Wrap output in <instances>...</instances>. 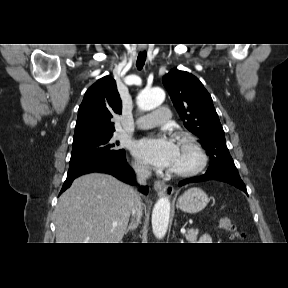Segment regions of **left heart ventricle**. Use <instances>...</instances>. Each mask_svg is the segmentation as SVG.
Segmentation results:
<instances>
[{"mask_svg":"<svg viewBox=\"0 0 288 288\" xmlns=\"http://www.w3.org/2000/svg\"><path fill=\"white\" fill-rule=\"evenodd\" d=\"M195 159L190 151L185 145L178 142L177 143V154L174 163L170 167L171 169H181L193 165Z\"/></svg>","mask_w":288,"mask_h":288,"instance_id":"obj_1","label":"left heart ventricle"}]
</instances>
